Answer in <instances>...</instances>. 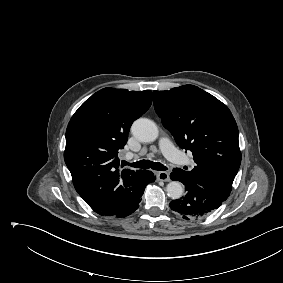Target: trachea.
I'll return each mask as SVG.
<instances>
[{
	"label": "trachea",
	"instance_id": "trachea-1",
	"mask_svg": "<svg viewBox=\"0 0 283 283\" xmlns=\"http://www.w3.org/2000/svg\"><path fill=\"white\" fill-rule=\"evenodd\" d=\"M124 165H129L131 167H135V168H143V169H153V170H158V171H165L167 170V167L164 166L163 164L159 163V162H153L150 160H140L134 163H127L126 161H124Z\"/></svg>",
	"mask_w": 283,
	"mask_h": 283
}]
</instances>
